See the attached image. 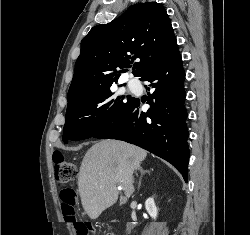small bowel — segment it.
<instances>
[{
	"label": "small bowel",
	"instance_id": "obj_1",
	"mask_svg": "<svg viewBox=\"0 0 250 235\" xmlns=\"http://www.w3.org/2000/svg\"><path fill=\"white\" fill-rule=\"evenodd\" d=\"M107 235H116L115 233H108Z\"/></svg>",
	"mask_w": 250,
	"mask_h": 235
}]
</instances>
